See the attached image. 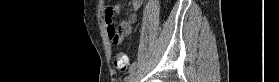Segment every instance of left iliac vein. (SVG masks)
Returning a JSON list of instances; mask_svg holds the SVG:
<instances>
[{
  "mask_svg": "<svg viewBox=\"0 0 279 82\" xmlns=\"http://www.w3.org/2000/svg\"><path fill=\"white\" fill-rule=\"evenodd\" d=\"M138 74L136 71H133L130 75L128 82H137Z\"/></svg>",
  "mask_w": 279,
  "mask_h": 82,
  "instance_id": "4c4485c4",
  "label": "left iliac vein"
}]
</instances>
